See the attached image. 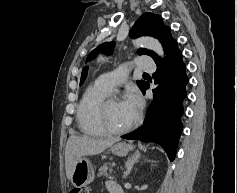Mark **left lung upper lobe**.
Segmentation results:
<instances>
[{
	"label": "left lung upper lobe",
	"mask_w": 237,
	"mask_h": 193,
	"mask_svg": "<svg viewBox=\"0 0 237 193\" xmlns=\"http://www.w3.org/2000/svg\"><path fill=\"white\" fill-rule=\"evenodd\" d=\"M143 35L153 36L162 43L164 51L166 52L169 46L175 41L170 33V28L163 24V21L159 15H155L152 13L143 14L134 24L132 29L130 30V36L133 38H137ZM113 48V43H104L98 46L95 50H93L87 57V60H90L95 54L99 52L110 53ZM138 54L149 55L154 59L155 62L159 60V57L152 50L147 49H139ZM88 67H84L82 70L80 84H82L87 76ZM147 82L145 81H137V85L142 90Z\"/></svg>",
	"instance_id": "5c2ea615"
}]
</instances>
